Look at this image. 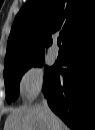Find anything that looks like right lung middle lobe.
Instances as JSON below:
<instances>
[{"mask_svg":"<svg viewBox=\"0 0 95 130\" xmlns=\"http://www.w3.org/2000/svg\"><path fill=\"white\" fill-rule=\"evenodd\" d=\"M43 61L44 58H40L29 64L9 70H4V81L7 102L14 101L17 98L19 94V82L21 80L22 75L32 66H41ZM52 72L53 67L44 68V84L46 83Z\"/></svg>","mask_w":95,"mask_h":130,"instance_id":"obj_1","label":"right lung middle lobe"}]
</instances>
